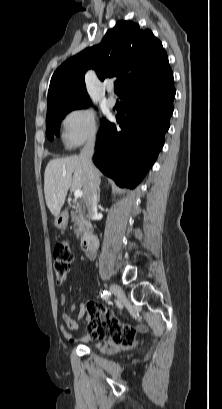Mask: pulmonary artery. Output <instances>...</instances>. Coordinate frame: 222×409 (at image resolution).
<instances>
[{
	"mask_svg": "<svg viewBox=\"0 0 222 409\" xmlns=\"http://www.w3.org/2000/svg\"><path fill=\"white\" fill-rule=\"evenodd\" d=\"M108 91H109V97H108V99H107V105H108L109 107H114L115 104H116V99L111 95V93H112V86H109Z\"/></svg>",
	"mask_w": 222,
	"mask_h": 409,
	"instance_id": "e3ab8cb5",
	"label": "pulmonary artery"
}]
</instances>
